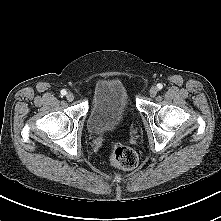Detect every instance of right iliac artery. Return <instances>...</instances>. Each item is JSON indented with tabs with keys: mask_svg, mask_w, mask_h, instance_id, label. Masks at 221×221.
<instances>
[{
	"mask_svg": "<svg viewBox=\"0 0 221 221\" xmlns=\"http://www.w3.org/2000/svg\"><path fill=\"white\" fill-rule=\"evenodd\" d=\"M66 93H67V92H66V90H64V89H63V90H61V95H63V96H64V95H66Z\"/></svg>",
	"mask_w": 221,
	"mask_h": 221,
	"instance_id": "right-iliac-artery-1",
	"label": "right iliac artery"
}]
</instances>
